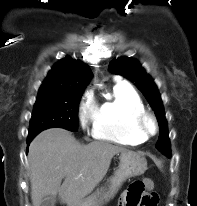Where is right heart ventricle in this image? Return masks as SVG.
<instances>
[{
	"mask_svg": "<svg viewBox=\"0 0 197 206\" xmlns=\"http://www.w3.org/2000/svg\"><path fill=\"white\" fill-rule=\"evenodd\" d=\"M145 111L140 95L128 84L119 82L112 97L104 100L94 118L92 135L121 145H139L146 138L135 127V116Z\"/></svg>",
	"mask_w": 197,
	"mask_h": 206,
	"instance_id": "obj_1",
	"label": "right heart ventricle"
}]
</instances>
